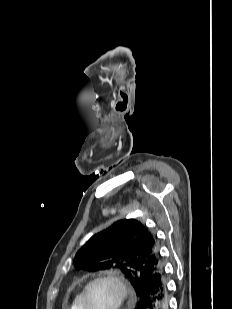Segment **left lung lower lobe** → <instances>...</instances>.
Segmentation results:
<instances>
[{
    "mask_svg": "<svg viewBox=\"0 0 232 309\" xmlns=\"http://www.w3.org/2000/svg\"><path fill=\"white\" fill-rule=\"evenodd\" d=\"M135 309H169V295L164 268L149 277Z\"/></svg>",
    "mask_w": 232,
    "mask_h": 309,
    "instance_id": "0a47b994",
    "label": "left lung lower lobe"
}]
</instances>
